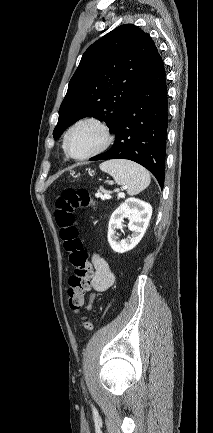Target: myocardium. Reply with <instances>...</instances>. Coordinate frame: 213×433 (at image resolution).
I'll return each mask as SVG.
<instances>
[{
	"instance_id": "f54148a6",
	"label": "myocardium",
	"mask_w": 213,
	"mask_h": 433,
	"mask_svg": "<svg viewBox=\"0 0 213 433\" xmlns=\"http://www.w3.org/2000/svg\"><path fill=\"white\" fill-rule=\"evenodd\" d=\"M84 124H92L95 125L96 127H98L103 134V141L101 143V145L96 148L94 151L84 155V156H74L69 149V137L71 135V133L79 126L84 125ZM113 141V135L111 133L110 128L108 127V125L103 122L102 120L96 118V117H86V118H82L80 120H78L77 122H75L66 132L65 136H64V141H63V147H64V151L67 154L68 157L74 159V160H78V161H82V160H87L89 158H92L100 153H102L103 151H105L112 143Z\"/></svg>"
}]
</instances>
